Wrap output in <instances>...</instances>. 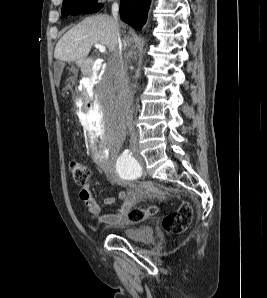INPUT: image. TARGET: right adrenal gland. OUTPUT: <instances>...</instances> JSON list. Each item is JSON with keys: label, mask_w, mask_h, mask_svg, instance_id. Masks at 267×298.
Masks as SVG:
<instances>
[{"label": "right adrenal gland", "mask_w": 267, "mask_h": 298, "mask_svg": "<svg viewBox=\"0 0 267 298\" xmlns=\"http://www.w3.org/2000/svg\"><path fill=\"white\" fill-rule=\"evenodd\" d=\"M123 45H124V49L126 48L127 46V41H126V38L123 39Z\"/></svg>", "instance_id": "right-adrenal-gland-1"}]
</instances>
